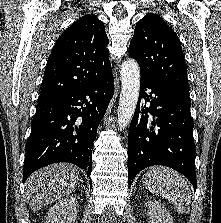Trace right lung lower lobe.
<instances>
[{
    "label": "right lung lower lobe",
    "instance_id": "98d812e1",
    "mask_svg": "<svg viewBox=\"0 0 221 223\" xmlns=\"http://www.w3.org/2000/svg\"><path fill=\"white\" fill-rule=\"evenodd\" d=\"M113 94L110 69L69 93L38 103L25 147L23 181L39 168L57 162L75 164L90 176L91 147Z\"/></svg>",
    "mask_w": 221,
    "mask_h": 223
}]
</instances>
